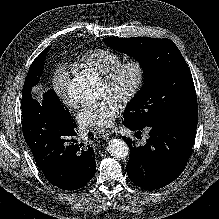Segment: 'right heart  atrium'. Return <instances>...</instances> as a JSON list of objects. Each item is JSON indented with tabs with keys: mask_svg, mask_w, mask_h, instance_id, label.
Returning a JSON list of instances; mask_svg holds the SVG:
<instances>
[{
	"mask_svg": "<svg viewBox=\"0 0 219 219\" xmlns=\"http://www.w3.org/2000/svg\"><path fill=\"white\" fill-rule=\"evenodd\" d=\"M69 83V70L65 66L57 67L51 76V88L63 105L76 108L78 101L69 94Z\"/></svg>",
	"mask_w": 219,
	"mask_h": 219,
	"instance_id": "right-heart-atrium-1",
	"label": "right heart atrium"
}]
</instances>
